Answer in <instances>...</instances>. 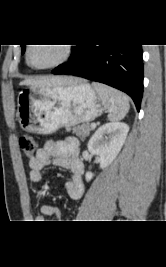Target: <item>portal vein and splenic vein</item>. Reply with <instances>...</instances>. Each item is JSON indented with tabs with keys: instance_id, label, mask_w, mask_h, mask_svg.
Here are the masks:
<instances>
[{
	"instance_id": "obj_1",
	"label": "portal vein and splenic vein",
	"mask_w": 166,
	"mask_h": 267,
	"mask_svg": "<svg viewBox=\"0 0 166 267\" xmlns=\"http://www.w3.org/2000/svg\"><path fill=\"white\" fill-rule=\"evenodd\" d=\"M91 128L95 129L96 128V124H91Z\"/></svg>"
}]
</instances>
